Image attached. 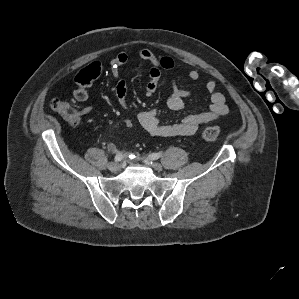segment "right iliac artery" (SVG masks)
<instances>
[{
    "label": "right iliac artery",
    "instance_id": "right-iliac-artery-1",
    "mask_svg": "<svg viewBox=\"0 0 299 299\" xmlns=\"http://www.w3.org/2000/svg\"><path fill=\"white\" fill-rule=\"evenodd\" d=\"M122 159H123V155H122L121 153L117 154V155L115 156V158H114V160H115L116 162H119V161H121Z\"/></svg>",
    "mask_w": 299,
    "mask_h": 299
}]
</instances>
